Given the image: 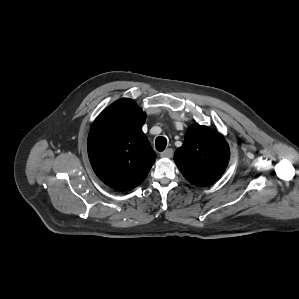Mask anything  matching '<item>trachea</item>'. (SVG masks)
I'll use <instances>...</instances> for the list:
<instances>
[{"mask_svg":"<svg viewBox=\"0 0 299 299\" xmlns=\"http://www.w3.org/2000/svg\"><path fill=\"white\" fill-rule=\"evenodd\" d=\"M167 140L165 137H157L156 138V149L157 151L161 152L166 148Z\"/></svg>","mask_w":299,"mask_h":299,"instance_id":"3493384b","label":"trachea"}]
</instances>
